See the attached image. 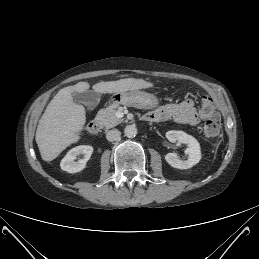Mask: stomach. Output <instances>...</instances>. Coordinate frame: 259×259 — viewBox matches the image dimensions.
<instances>
[{"instance_id": "1", "label": "stomach", "mask_w": 259, "mask_h": 259, "mask_svg": "<svg viewBox=\"0 0 259 259\" xmlns=\"http://www.w3.org/2000/svg\"><path fill=\"white\" fill-rule=\"evenodd\" d=\"M109 103L113 106L128 105L142 109H153L158 106V98L144 91L118 92L114 94Z\"/></svg>"}]
</instances>
